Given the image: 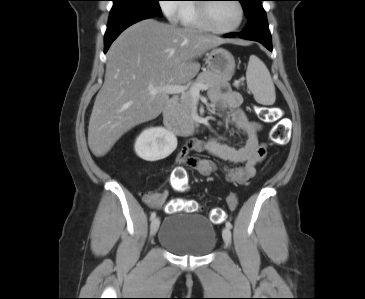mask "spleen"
<instances>
[{
	"label": "spleen",
	"instance_id": "1",
	"mask_svg": "<svg viewBox=\"0 0 365 299\" xmlns=\"http://www.w3.org/2000/svg\"><path fill=\"white\" fill-rule=\"evenodd\" d=\"M246 81L255 100L263 105H272L275 102V87L266 65L255 55L249 58Z\"/></svg>",
	"mask_w": 365,
	"mask_h": 299
}]
</instances>
